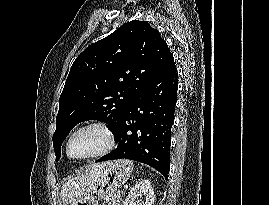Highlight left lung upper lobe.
Returning a JSON list of instances; mask_svg holds the SVG:
<instances>
[{"label":"left lung upper lobe","mask_w":269,"mask_h":205,"mask_svg":"<svg viewBox=\"0 0 269 205\" xmlns=\"http://www.w3.org/2000/svg\"><path fill=\"white\" fill-rule=\"evenodd\" d=\"M170 55L159 31L137 20L88 46L74 61L60 96L53 134L56 161L63 140L82 121L105 122L114 133Z\"/></svg>","instance_id":"obj_1"}]
</instances>
